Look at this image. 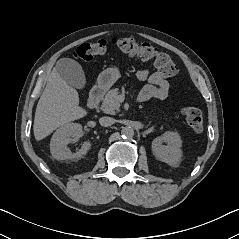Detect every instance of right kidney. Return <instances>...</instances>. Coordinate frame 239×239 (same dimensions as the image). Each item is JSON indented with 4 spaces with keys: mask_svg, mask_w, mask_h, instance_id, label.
I'll return each instance as SVG.
<instances>
[{
    "mask_svg": "<svg viewBox=\"0 0 239 239\" xmlns=\"http://www.w3.org/2000/svg\"><path fill=\"white\" fill-rule=\"evenodd\" d=\"M82 126L79 123H68L59 128L52 136L50 142V152L57 160L80 159L91 148V143L85 141L78 152L72 153L67 145L73 141V138L80 136Z\"/></svg>",
    "mask_w": 239,
    "mask_h": 239,
    "instance_id": "obj_1",
    "label": "right kidney"
}]
</instances>
